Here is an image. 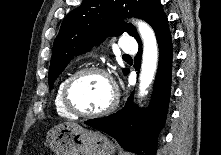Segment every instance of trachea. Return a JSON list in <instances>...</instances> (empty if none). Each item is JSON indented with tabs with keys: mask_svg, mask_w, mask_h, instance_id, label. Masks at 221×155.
Segmentation results:
<instances>
[{
	"mask_svg": "<svg viewBox=\"0 0 221 155\" xmlns=\"http://www.w3.org/2000/svg\"><path fill=\"white\" fill-rule=\"evenodd\" d=\"M123 57H124V58H129L130 56H129V55H124Z\"/></svg>",
	"mask_w": 221,
	"mask_h": 155,
	"instance_id": "3493384b",
	"label": "trachea"
}]
</instances>
